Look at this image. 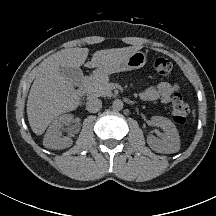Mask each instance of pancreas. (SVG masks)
I'll return each mask as SVG.
<instances>
[{
    "label": "pancreas",
    "instance_id": "obj_1",
    "mask_svg": "<svg viewBox=\"0 0 216 216\" xmlns=\"http://www.w3.org/2000/svg\"><path fill=\"white\" fill-rule=\"evenodd\" d=\"M86 90L91 97H101L111 95L109 87V78L107 75L98 76L89 81L86 85Z\"/></svg>",
    "mask_w": 216,
    "mask_h": 216
}]
</instances>
